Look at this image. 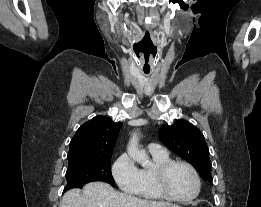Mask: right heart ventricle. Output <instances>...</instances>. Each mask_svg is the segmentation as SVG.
I'll return each instance as SVG.
<instances>
[{
    "label": "right heart ventricle",
    "instance_id": "1",
    "mask_svg": "<svg viewBox=\"0 0 261 207\" xmlns=\"http://www.w3.org/2000/svg\"><path fill=\"white\" fill-rule=\"evenodd\" d=\"M151 157L152 166L140 169L141 186L138 195L144 199L159 200L163 197L157 190L154 180V171L160 164L170 160V157L167 153H151Z\"/></svg>",
    "mask_w": 261,
    "mask_h": 207
}]
</instances>
